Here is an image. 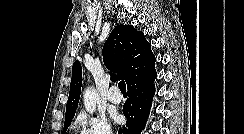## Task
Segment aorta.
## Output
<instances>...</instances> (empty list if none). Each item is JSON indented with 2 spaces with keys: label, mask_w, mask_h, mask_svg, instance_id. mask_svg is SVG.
<instances>
[{
  "label": "aorta",
  "mask_w": 244,
  "mask_h": 134,
  "mask_svg": "<svg viewBox=\"0 0 244 134\" xmlns=\"http://www.w3.org/2000/svg\"><path fill=\"white\" fill-rule=\"evenodd\" d=\"M99 95L94 88H86L83 96L84 106L87 112L93 114L96 111Z\"/></svg>",
  "instance_id": "1"
}]
</instances>
